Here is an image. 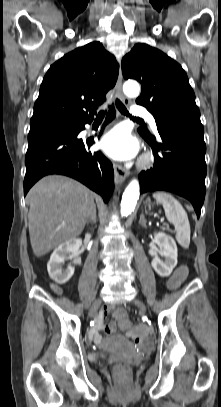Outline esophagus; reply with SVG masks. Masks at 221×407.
Listing matches in <instances>:
<instances>
[{"label":"esophagus","instance_id":"esophagus-1","mask_svg":"<svg viewBox=\"0 0 221 407\" xmlns=\"http://www.w3.org/2000/svg\"><path fill=\"white\" fill-rule=\"evenodd\" d=\"M122 80H123V76H122V72H121V68H120L118 79L116 82V91H117V94H118L120 100L125 105H129L130 100L123 94V91H122ZM114 173H115V183L116 184H121L129 175V172L120 164H114Z\"/></svg>","mask_w":221,"mask_h":407}]
</instances>
